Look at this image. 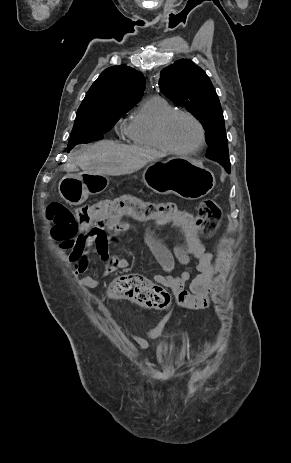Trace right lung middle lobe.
I'll list each match as a JSON object with an SVG mask.
<instances>
[{
  "mask_svg": "<svg viewBox=\"0 0 291 463\" xmlns=\"http://www.w3.org/2000/svg\"><path fill=\"white\" fill-rule=\"evenodd\" d=\"M134 105L105 104L94 109L77 111L68 150L81 143L103 139L120 117Z\"/></svg>",
  "mask_w": 291,
  "mask_h": 463,
  "instance_id": "right-lung-middle-lobe-1",
  "label": "right lung middle lobe"
}]
</instances>
